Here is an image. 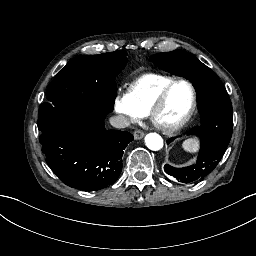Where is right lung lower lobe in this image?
Segmentation results:
<instances>
[{
	"instance_id": "1",
	"label": "right lung lower lobe",
	"mask_w": 256,
	"mask_h": 256,
	"mask_svg": "<svg viewBox=\"0 0 256 256\" xmlns=\"http://www.w3.org/2000/svg\"><path fill=\"white\" fill-rule=\"evenodd\" d=\"M104 118L75 112L38 127L46 162L66 185L96 191L118 179L123 150L134 137L126 131L106 130Z\"/></svg>"
}]
</instances>
